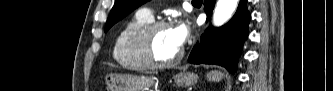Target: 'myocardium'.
I'll use <instances>...</instances> for the list:
<instances>
[{
    "instance_id": "myocardium-1",
    "label": "myocardium",
    "mask_w": 333,
    "mask_h": 91,
    "mask_svg": "<svg viewBox=\"0 0 333 91\" xmlns=\"http://www.w3.org/2000/svg\"><path fill=\"white\" fill-rule=\"evenodd\" d=\"M171 25L165 21H154L140 28L133 37L134 51L139 60L148 68L162 69L168 68L178 63L182 56L183 50L180 49L178 54L168 61L156 60L152 52V39L154 33L161 28H170Z\"/></svg>"
}]
</instances>
